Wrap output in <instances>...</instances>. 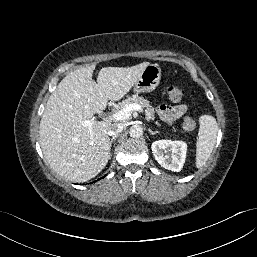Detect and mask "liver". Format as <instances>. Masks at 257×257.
Here are the masks:
<instances>
[{
	"label": "liver",
	"mask_w": 257,
	"mask_h": 257,
	"mask_svg": "<svg viewBox=\"0 0 257 257\" xmlns=\"http://www.w3.org/2000/svg\"><path fill=\"white\" fill-rule=\"evenodd\" d=\"M104 67L97 83L92 79L96 65L66 75L50 95L40 122V145L45 159L60 176L72 182H86L98 175L109 160L112 125L108 120L83 125L105 110L108 100L127 94L149 65ZM93 136V138H92Z\"/></svg>",
	"instance_id": "1"
}]
</instances>
